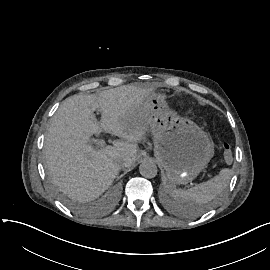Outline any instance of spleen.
<instances>
[{
    "mask_svg": "<svg viewBox=\"0 0 270 270\" xmlns=\"http://www.w3.org/2000/svg\"><path fill=\"white\" fill-rule=\"evenodd\" d=\"M232 171L229 168H223L218 175L211 177L209 180L195 185L189 190L175 188L173 185L166 184L170 195L178 202L185 203L184 208L190 212H195L198 205L204 204L221 193L229 184Z\"/></svg>",
    "mask_w": 270,
    "mask_h": 270,
    "instance_id": "1",
    "label": "spleen"
}]
</instances>
